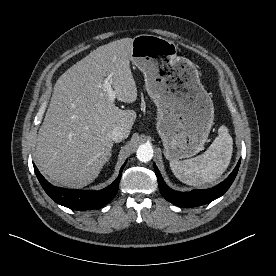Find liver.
I'll use <instances>...</instances> for the list:
<instances>
[{
	"label": "liver",
	"instance_id": "liver-1",
	"mask_svg": "<svg viewBox=\"0 0 276 276\" xmlns=\"http://www.w3.org/2000/svg\"><path fill=\"white\" fill-rule=\"evenodd\" d=\"M132 38L100 46L64 72L54 86L39 129L35 161L54 182L82 188L93 182L107 162L112 131L121 126L130 134L136 113L121 110L102 87L113 74L117 100L133 103L137 87L130 69Z\"/></svg>",
	"mask_w": 276,
	"mask_h": 276
}]
</instances>
